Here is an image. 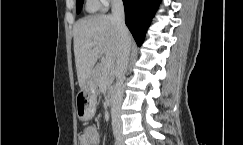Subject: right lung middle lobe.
<instances>
[{"label":"right lung middle lobe","instance_id":"right-lung-middle-lobe-1","mask_svg":"<svg viewBox=\"0 0 243 145\" xmlns=\"http://www.w3.org/2000/svg\"><path fill=\"white\" fill-rule=\"evenodd\" d=\"M83 1H84V0H77V1H76V11H77V13L80 12V10H81V8H82V5H83Z\"/></svg>","mask_w":243,"mask_h":145}]
</instances>
